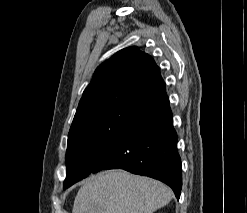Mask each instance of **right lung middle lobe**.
<instances>
[{
    "label": "right lung middle lobe",
    "mask_w": 247,
    "mask_h": 213,
    "mask_svg": "<svg viewBox=\"0 0 247 213\" xmlns=\"http://www.w3.org/2000/svg\"><path fill=\"white\" fill-rule=\"evenodd\" d=\"M130 105V101L120 103L70 129L64 189L94 171L101 151L113 142L128 118Z\"/></svg>",
    "instance_id": "right-lung-middle-lobe-1"
}]
</instances>
